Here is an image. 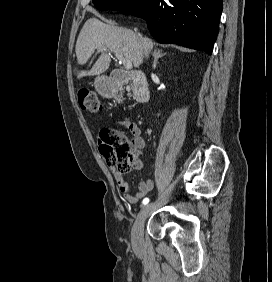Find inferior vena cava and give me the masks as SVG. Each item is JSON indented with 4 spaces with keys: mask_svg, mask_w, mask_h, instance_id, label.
<instances>
[{
    "mask_svg": "<svg viewBox=\"0 0 272 282\" xmlns=\"http://www.w3.org/2000/svg\"><path fill=\"white\" fill-rule=\"evenodd\" d=\"M145 55H146V56L148 55V50H147V49H145Z\"/></svg>",
    "mask_w": 272,
    "mask_h": 282,
    "instance_id": "inferior-vena-cava-1",
    "label": "inferior vena cava"
}]
</instances>
